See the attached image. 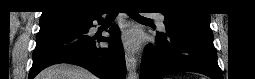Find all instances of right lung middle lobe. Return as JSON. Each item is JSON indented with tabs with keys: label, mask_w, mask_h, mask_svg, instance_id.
I'll list each match as a JSON object with an SVG mask.
<instances>
[{
	"label": "right lung middle lobe",
	"mask_w": 255,
	"mask_h": 79,
	"mask_svg": "<svg viewBox=\"0 0 255 79\" xmlns=\"http://www.w3.org/2000/svg\"><path fill=\"white\" fill-rule=\"evenodd\" d=\"M81 19L75 16L73 13H62L46 18L40 19V31L48 28L56 27H70L77 25Z\"/></svg>",
	"instance_id": "right-lung-middle-lobe-1"
}]
</instances>
